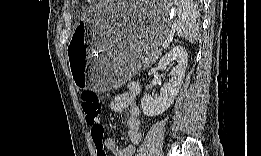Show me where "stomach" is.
I'll return each mask as SVG.
<instances>
[{
  "mask_svg": "<svg viewBox=\"0 0 261 156\" xmlns=\"http://www.w3.org/2000/svg\"><path fill=\"white\" fill-rule=\"evenodd\" d=\"M170 6L107 1L91 9L77 24L67 50L76 87L105 91L135 75L169 32Z\"/></svg>",
  "mask_w": 261,
  "mask_h": 156,
  "instance_id": "1",
  "label": "stomach"
}]
</instances>
